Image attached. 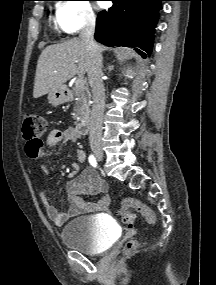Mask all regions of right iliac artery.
<instances>
[{
	"label": "right iliac artery",
	"mask_w": 216,
	"mask_h": 285,
	"mask_svg": "<svg viewBox=\"0 0 216 285\" xmlns=\"http://www.w3.org/2000/svg\"><path fill=\"white\" fill-rule=\"evenodd\" d=\"M89 163H90L93 167H97V161H96V158L94 157V155H90V156H89Z\"/></svg>",
	"instance_id": "1"
}]
</instances>
